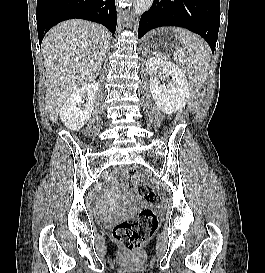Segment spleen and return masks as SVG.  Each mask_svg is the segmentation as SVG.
<instances>
[{
	"label": "spleen",
	"mask_w": 265,
	"mask_h": 273,
	"mask_svg": "<svg viewBox=\"0 0 265 273\" xmlns=\"http://www.w3.org/2000/svg\"><path fill=\"white\" fill-rule=\"evenodd\" d=\"M173 32L183 46L181 50H187L190 53L188 61L194 72L195 79L199 83H205L209 76V46L198 35L186 29L174 28Z\"/></svg>",
	"instance_id": "3e777b00"
}]
</instances>
